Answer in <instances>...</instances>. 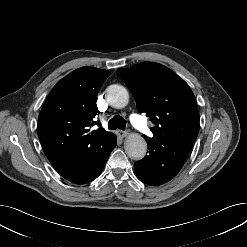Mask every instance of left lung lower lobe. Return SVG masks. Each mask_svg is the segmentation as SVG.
Listing matches in <instances>:
<instances>
[{
  "label": "left lung lower lobe",
  "instance_id": "1",
  "mask_svg": "<svg viewBox=\"0 0 247 247\" xmlns=\"http://www.w3.org/2000/svg\"><path fill=\"white\" fill-rule=\"evenodd\" d=\"M149 154L134 164L137 178L148 185H161L174 178L192 147L179 142L164 145L147 142Z\"/></svg>",
  "mask_w": 247,
  "mask_h": 247
}]
</instances>
